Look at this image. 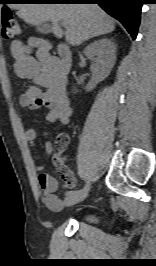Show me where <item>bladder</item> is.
Masks as SVG:
<instances>
[{
    "mask_svg": "<svg viewBox=\"0 0 156 266\" xmlns=\"http://www.w3.org/2000/svg\"><path fill=\"white\" fill-rule=\"evenodd\" d=\"M82 219L86 222L94 223L96 221V216L93 213L87 212L82 215Z\"/></svg>",
    "mask_w": 156,
    "mask_h": 266,
    "instance_id": "obj_1",
    "label": "bladder"
}]
</instances>
